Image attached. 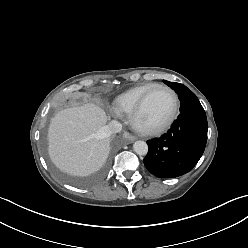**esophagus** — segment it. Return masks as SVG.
<instances>
[{
	"label": "esophagus",
	"instance_id": "1",
	"mask_svg": "<svg viewBox=\"0 0 248 248\" xmlns=\"http://www.w3.org/2000/svg\"><path fill=\"white\" fill-rule=\"evenodd\" d=\"M125 138L129 141V142H134L137 138L131 134H126Z\"/></svg>",
	"mask_w": 248,
	"mask_h": 248
}]
</instances>
